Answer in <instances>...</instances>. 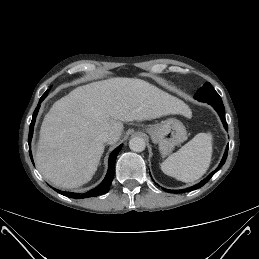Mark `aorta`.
Segmentation results:
<instances>
[{
	"instance_id": "aorta-1",
	"label": "aorta",
	"mask_w": 259,
	"mask_h": 259,
	"mask_svg": "<svg viewBox=\"0 0 259 259\" xmlns=\"http://www.w3.org/2000/svg\"><path fill=\"white\" fill-rule=\"evenodd\" d=\"M146 143L142 137H132L129 141V148L134 152H142L145 150Z\"/></svg>"
}]
</instances>
